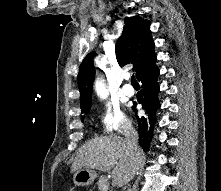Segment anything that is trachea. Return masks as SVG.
Masks as SVG:
<instances>
[{
  "instance_id": "obj_1",
  "label": "trachea",
  "mask_w": 221,
  "mask_h": 191,
  "mask_svg": "<svg viewBox=\"0 0 221 191\" xmlns=\"http://www.w3.org/2000/svg\"><path fill=\"white\" fill-rule=\"evenodd\" d=\"M131 83H132V84H138V82H137V80H136L134 74L131 76Z\"/></svg>"
}]
</instances>
